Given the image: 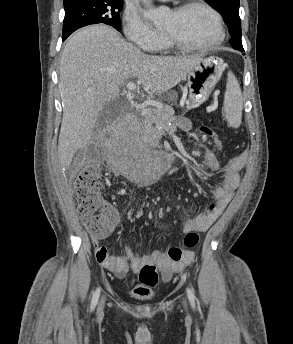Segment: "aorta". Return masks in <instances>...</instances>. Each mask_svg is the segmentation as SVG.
Masks as SVG:
<instances>
[{"mask_svg":"<svg viewBox=\"0 0 293 344\" xmlns=\"http://www.w3.org/2000/svg\"><path fill=\"white\" fill-rule=\"evenodd\" d=\"M146 9L143 11V17L146 20L153 22L155 25H160L167 13L165 7H154L150 0H143ZM152 167L156 171H163L165 168V162L161 157L155 156L152 159Z\"/></svg>","mask_w":293,"mask_h":344,"instance_id":"obj_1","label":"aorta"}]
</instances>
